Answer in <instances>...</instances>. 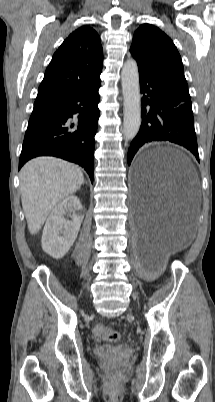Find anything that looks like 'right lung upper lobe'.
I'll return each mask as SVG.
<instances>
[{
	"instance_id": "cb5924a9",
	"label": "right lung upper lobe",
	"mask_w": 215,
	"mask_h": 402,
	"mask_svg": "<svg viewBox=\"0 0 215 402\" xmlns=\"http://www.w3.org/2000/svg\"><path fill=\"white\" fill-rule=\"evenodd\" d=\"M103 49L94 29L75 30L54 53L41 82L35 103H55L100 77Z\"/></svg>"
}]
</instances>
